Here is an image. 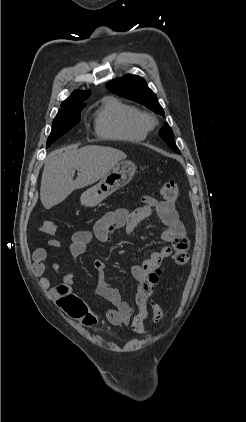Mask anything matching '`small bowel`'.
Here are the masks:
<instances>
[{
	"instance_id": "small-bowel-1",
	"label": "small bowel",
	"mask_w": 246,
	"mask_h": 422,
	"mask_svg": "<svg viewBox=\"0 0 246 422\" xmlns=\"http://www.w3.org/2000/svg\"><path fill=\"white\" fill-rule=\"evenodd\" d=\"M142 202V206L132 211L120 208L105 213L96 221L91 231H76L71 238V253L74 256L83 255L93 238L103 243L109 242L114 232L118 229L124 228L127 233H133L139 223L149 218L154 210L166 226V229L161 233V238L169 245H165L158 251L151 253L149 258L141 264L133 265L131 268L133 277L140 280L149 272L159 269L163 260L175 252H187L189 240L174 203L170 200L158 201L148 195L142 198ZM60 245L61 243L56 239H51L48 242V246L51 248H58ZM47 258L48 251L44 247L37 248L33 252V269L34 273L40 277L41 286L49 291L51 299L69 316L79 320L84 326L96 325L99 322V314L76 296L75 276L72 273H66L63 275L62 283L54 284L46 276L49 270V266L46 263ZM94 267L97 271L95 292L113 305V308L106 311L108 321L116 326L128 325L133 313L132 308L122 299L119 290L107 282L104 276L105 263L100 259H95ZM52 269L59 273L58 263H53Z\"/></svg>"
}]
</instances>
